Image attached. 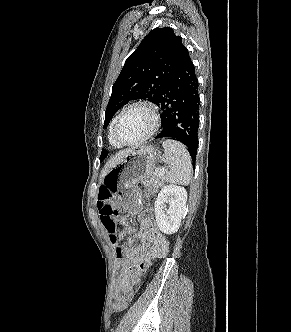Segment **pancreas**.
<instances>
[{
    "label": "pancreas",
    "mask_w": 291,
    "mask_h": 332,
    "mask_svg": "<svg viewBox=\"0 0 291 332\" xmlns=\"http://www.w3.org/2000/svg\"><path fill=\"white\" fill-rule=\"evenodd\" d=\"M165 182V178L164 176H152L150 179L144 180L142 182V184L146 187V188H151L154 191H157L159 189V187L163 186Z\"/></svg>",
    "instance_id": "obj_1"
}]
</instances>
